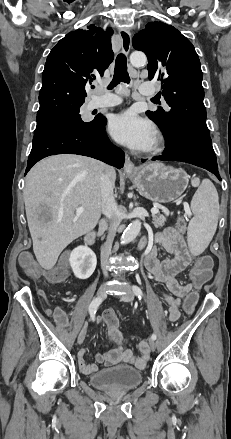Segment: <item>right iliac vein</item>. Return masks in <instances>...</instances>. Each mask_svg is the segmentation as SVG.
Returning <instances> with one entry per match:
<instances>
[{
	"instance_id": "1",
	"label": "right iliac vein",
	"mask_w": 231,
	"mask_h": 439,
	"mask_svg": "<svg viewBox=\"0 0 231 439\" xmlns=\"http://www.w3.org/2000/svg\"><path fill=\"white\" fill-rule=\"evenodd\" d=\"M106 295H107V287L106 286H102L98 290L96 297L99 298V299H104L106 297ZM87 327H88V322L86 321L84 323L80 333H79L78 344H82L83 343V341L85 339L86 332H87Z\"/></svg>"
}]
</instances>
